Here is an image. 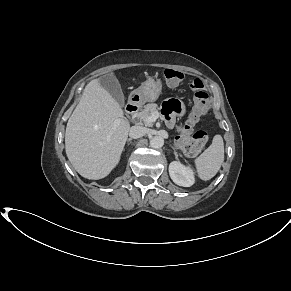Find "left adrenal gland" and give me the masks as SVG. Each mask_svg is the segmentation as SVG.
<instances>
[{"mask_svg": "<svg viewBox=\"0 0 291 291\" xmlns=\"http://www.w3.org/2000/svg\"><path fill=\"white\" fill-rule=\"evenodd\" d=\"M170 146L174 150V154L177 155L176 148L174 146H172V145H170Z\"/></svg>", "mask_w": 291, "mask_h": 291, "instance_id": "1", "label": "left adrenal gland"}]
</instances>
